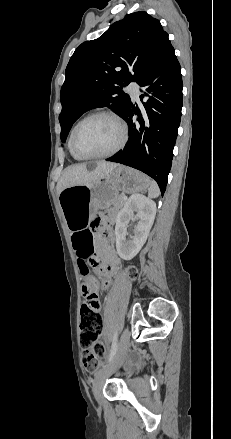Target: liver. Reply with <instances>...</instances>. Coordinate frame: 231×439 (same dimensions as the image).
<instances>
[{
  "mask_svg": "<svg viewBox=\"0 0 231 439\" xmlns=\"http://www.w3.org/2000/svg\"><path fill=\"white\" fill-rule=\"evenodd\" d=\"M118 165L116 163L100 161L94 170L89 171L86 164H75L67 167L57 184L58 195L65 188L75 185L92 183L111 172Z\"/></svg>",
  "mask_w": 231,
  "mask_h": 439,
  "instance_id": "obj_1",
  "label": "liver"
}]
</instances>
